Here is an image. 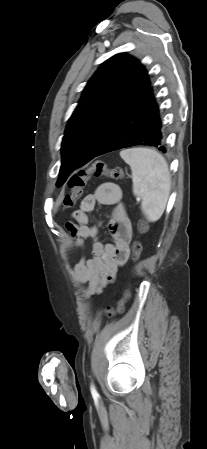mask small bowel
<instances>
[{
  "instance_id": "1",
  "label": "small bowel",
  "mask_w": 207,
  "mask_h": 449,
  "mask_svg": "<svg viewBox=\"0 0 207 449\" xmlns=\"http://www.w3.org/2000/svg\"><path fill=\"white\" fill-rule=\"evenodd\" d=\"M122 197L120 187L110 182L103 183L82 200L80 207L72 214L73 221L66 223V229L80 252L79 261L75 264L67 262L66 269L75 285L87 283L84 289L87 296L99 294L115 279L119 267L129 258L132 228ZM97 204L113 206L109 222L112 243H102L98 237V226L89 225V214ZM88 238L94 241L91 259H86L83 253L84 240Z\"/></svg>"
}]
</instances>
